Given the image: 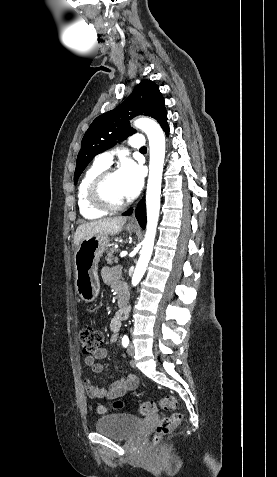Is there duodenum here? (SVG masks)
<instances>
[{
	"instance_id": "1",
	"label": "duodenum",
	"mask_w": 277,
	"mask_h": 477,
	"mask_svg": "<svg viewBox=\"0 0 277 477\" xmlns=\"http://www.w3.org/2000/svg\"><path fill=\"white\" fill-rule=\"evenodd\" d=\"M118 306L121 308L122 312L125 314L128 313L129 311V302H128V297L124 291H120L118 293Z\"/></svg>"
}]
</instances>
